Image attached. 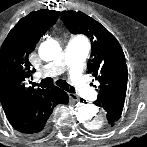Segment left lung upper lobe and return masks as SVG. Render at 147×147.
I'll use <instances>...</instances> for the list:
<instances>
[{"label":"left lung upper lobe","instance_id":"left-lung-upper-lobe-1","mask_svg":"<svg viewBox=\"0 0 147 147\" xmlns=\"http://www.w3.org/2000/svg\"><path fill=\"white\" fill-rule=\"evenodd\" d=\"M62 18L71 32L81 31L94 39L88 72L100 82L97 101L115 96L125 97L127 66L115 38L100 23L82 12L65 11Z\"/></svg>","mask_w":147,"mask_h":147}]
</instances>
